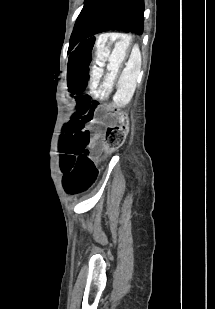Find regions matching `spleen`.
<instances>
[{
    "label": "spleen",
    "instance_id": "3e777b00",
    "mask_svg": "<svg viewBox=\"0 0 215 309\" xmlns=\"http://www.w3.org/2000/svg\"><path fill=\"white\" fill-rule=\"evenodd\" d=\"M141 68V52L138 44H134L130 58L119 80L118 90L113 96L117 106H126L130 102L136 88L137 76Z\"/></svg>",
    "mask_w": 215,
    "mask_h": 309
}]
</instances>
